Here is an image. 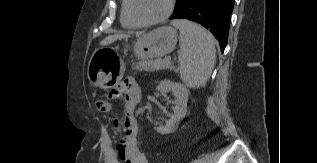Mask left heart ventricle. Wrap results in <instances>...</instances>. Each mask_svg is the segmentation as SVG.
<instances>
[{
	"instance_id": "1",
	"label": "left heart ventricle",
	"mask_w": 317,
	"mask_h": 163,
	"mask_svg": "<svg viewBox=\"0 0 317 163\" xmlns=\"http://www.w3.org/2000/svg\"><path fill=\"white\" fill-rule=\"evenodd\" d=\"M167 5V0H133V11L142 21H148L161 16Z\"/></svg>"
}]
</instances>
